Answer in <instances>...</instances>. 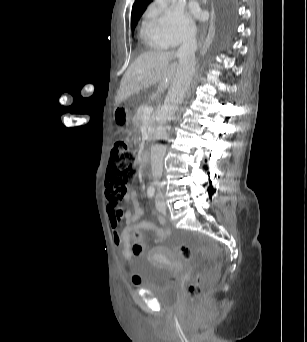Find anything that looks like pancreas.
I'll return each mask as SVG.
<instances>
[{
	"mask_svg": "<svg viewBox=\"0 0 307 342\" xmlns=\"http://www.w3.org/2000/svg\"><path fill=\"white\" fill-rule=\"evenodd\" d=\"M144 108H148V106H140V110H138L137 114H135V116H134L136 122H139V124H142ZM154 120H155V116H152V118L150 120V124H149L150 128H151ZM149 136H152V134H149Z\"/></svg>",
	"mask_w": 307,
	"mask_h": 342,
	"instance_id": "1",
	"label": "pancreas"
}]
</instances>
